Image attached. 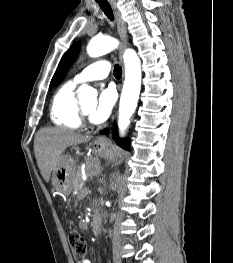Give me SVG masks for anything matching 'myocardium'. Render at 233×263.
<instances>
[{
    "mask_svg": "<svg viewBox=\"0 0 233 263\" xmlns=\"http://www.w3.org/2000/svg\"><path fill=\"white\" fill-rule=\"evenodd\" d=\"M80 114H81V118L86 121L88 114L84 111L82 107H80Z\"/></svg>",
    "mask_w": 233,
    "mask_h": 263,
    "instance_id": "obj_1",
    "label": "myocardium"
}]
</instances>
